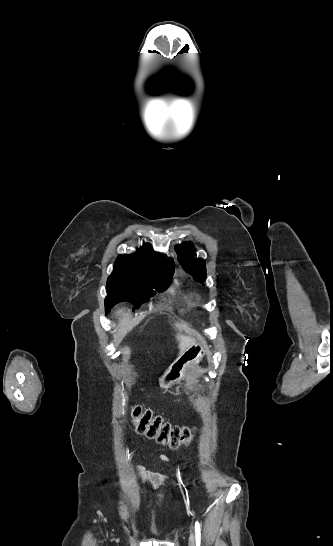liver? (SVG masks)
I'll list each match as a JSON object with an SVG mask.
<instances>
[{"label":"liver","instance_id":"obj_1","mask_svg":"<svg viewBox=\"0 0 333 546\" xmlns=\"http://www.w3.org/2000/svg\"><path fill=\"white\" fill-rule=\"evenodd\" d=\"M119 315L127 316L128 313H123L122 310L118 311ZM125 318L121 320V322H124ZM177 340L179 342V354H182L186 349H188L193 343H195V339L190 336H184V335H177Z\"/></svg>","mask_w":333,"mask_h":546}]
</instances>
